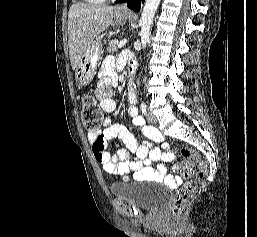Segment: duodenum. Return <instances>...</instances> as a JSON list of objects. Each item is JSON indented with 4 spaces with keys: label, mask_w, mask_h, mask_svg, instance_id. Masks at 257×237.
Masks as SVG:
<instances>
[{
    "label": "duodenum",
    "mask_w": 257,
    "mask_h": 237,
    "mask_svg": "<svg viewBox=\"0 0 257 237\" xmlns=\"http://www.w3.org/2000/svg\"><path fill=\"white\" fill-rule=\"evenodd\" d=\"M135 72V67L132 66L130 68V74H134ZM127 93H128V97H129V100L134 103L135 100H136V96H135V90H134V83L131 81L129 82V84L127 85Z\"/></svg>",
    "instance_id": "1"
}]
</instances>
